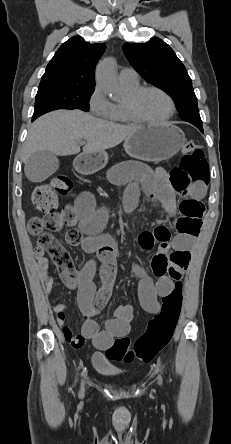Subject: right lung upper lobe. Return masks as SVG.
Here are the masks:
<instances>
[{
  "label": "right lung upper lobe",
  "mask_w": 231,
  "mask_h": 444,
  "mask_svg": "<svg viewBox=\"0 0 231 444\" xmlns=\"http://www.w3.org/2000/svg\"><path fill=\"white\" fill-rule=\"evenodd\" d=\"M105 48L103 43L90 44L79 36L70 38L47 65L39 88L95 87V66Z\"/></svg>",
  "instance_id": "obj_1"
}]
</instances>
